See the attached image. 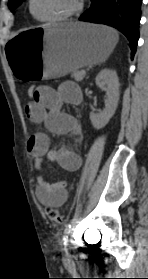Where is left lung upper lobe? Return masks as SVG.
<instances>
[{"instance_id": "left-lung-upper-lobe-1", "label": "left lung upper lobe", "mask_w": 148, "mask_h": 279, "mask_svg": "<svg viewBox=\"0 0 148 279\" xmlns=\"http://www.w3.org/2000/svg\"><path fill=\"white\" fill-rule=\"evenodd\" d=\"M24 0H9L8 6L10 10L13 12L15 8L18 7Z\"/></svg>"}]
</instances>
